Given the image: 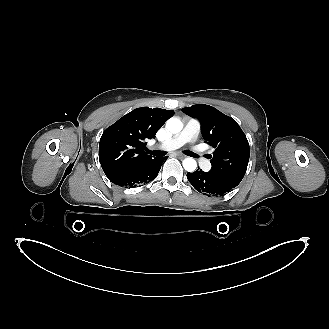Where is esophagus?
Masks as SVG:
<instances>
[{
    "label": "esophagus",
    "instance_id": "34e87169",
    "mask_svg": "<svg viewBox=\"0 0 329 329\" xmlns=\"http://www.w3.org/2000/svg\"><path fill=\"white\" fill-rule=\"evenodd\" d=\"M177 157H178L179 159H184V158H185V156L182 155V154H177Z\"/></svg>",
    "mask_w": 329,
    "mask_h": 329
}]
</instances>
